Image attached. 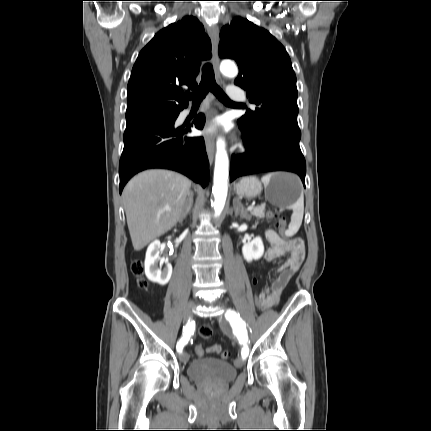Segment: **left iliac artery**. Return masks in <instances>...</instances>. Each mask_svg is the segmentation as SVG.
<instances>
[{
	"label": "left iliac artery",
	"instance_id": "44dca946",
	"mask_svg": "<svg viewBox=\"0 0 431 431\" xmlns=\"http://www.w3.org/2000/svg\"><path fill=\"white\" fill-rule=\"evenodd\" d=\"M225 316L233 325L236 326V328L239 331L238 339L244 345V347L241 350V356L243 359H246L249 354V348L247 345L248 338H247L246 323L241 319L240 315L236 313L234 310H228Z\"/></svg>",
	"mask_w": 431,
	"mask_h": 431
}]
</instances>
